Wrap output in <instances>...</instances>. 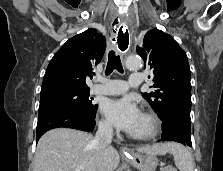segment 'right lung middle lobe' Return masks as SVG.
I'll use <instances>...</instances> for the list:
<instances>
[{"label": "right lung middle lobe", "mask_w": 223, "mask_h": 171, "mask_svg": "<svg viewBox=\"0 0 223 171\" xmlns=\"http://www.w3.org/2000/svg\"><path fill=\"white\" fill-rule=\"evenodd\" d=\"M89 90L69 91L40 98L39 114L53 108L70 107L94 115L98 105L92 104Z\"/></svg>", "instance_id": "dd1d6c3e"}]
</instances>
